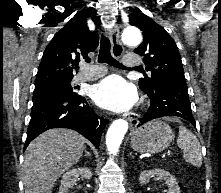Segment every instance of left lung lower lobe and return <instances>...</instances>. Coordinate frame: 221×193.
<instances>
[{
  "label": "left lung lower lobe",
  "mask_w": 221,
  "mask_h": 193,
  "mask_svg": "<svg viewBox=\"0 0 221 193\" xmlns=\"http://www.w3.org/2000/svg\"><path fill=\"white\" fill-rule=\"evenodd\" d=\"M144 92L150 99V106L138 126L164 116H178L195 126L186 82L160 81L153 90Z\"/></svg>",
  "instance_id": "obj_1"
}]
</instances>
